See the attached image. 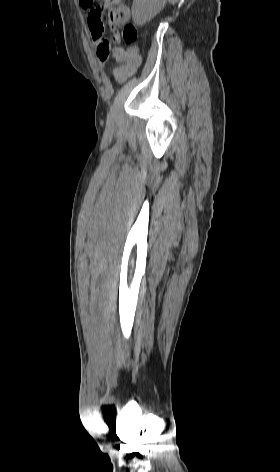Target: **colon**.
Masks as SVG:
<instances>
[{"instance_id": "obj_1", "label": "colon", "mask_w": 280, "mask_h": 472, "mask_svg": "<svg viewBox=\"0 0 280 472\" xmlns=\"http://www.w3.org/2000/svg\"><path fill=\"white\" fill-rule=\"evenodd\" d=\"M116 2H119V0H107V1H104L102 5L93 7V0H82L84 7H86L87 9H90L89 14H88V22L94 25L101 24L104 8L108 4H113ZM137 35H138L137 28L133 24H127L124 26L123 31H122V39L127 45L126 51L129 54H133L136 52L134 43L137 39Z\"/></svg>"}]
</instances>
